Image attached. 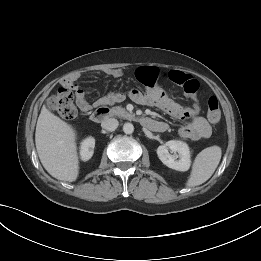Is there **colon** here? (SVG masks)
Here are the masks:
<instances>
[{"label": "colon", "instance_id": "colon-1", "mask_svg": "<svg viewBox=\"0 0 261 261\" xmlns=\"http://www.w3.org/2000/svg\"><path fill=\"white\" fill-rule=\"evenodd\" d=\"M73 88L68 82L63 83L48 100V108L56 112L60 117L71 120L76 117L77 109L73 101ZM207 119L211 124H217L221 120V111L216 97L208 100Z\"/></svg>", "mask_w": 261, "mask_h": 261}]
</instances>
